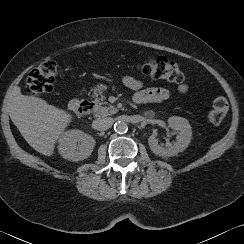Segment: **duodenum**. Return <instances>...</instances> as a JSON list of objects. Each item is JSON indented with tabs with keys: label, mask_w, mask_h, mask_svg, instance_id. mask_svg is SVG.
Wrapping results in <instances>:
<instances>
[{
	"label": "duodenum",
	"mask_w": 244,
	"mask_h": 244,
	"mask_svg": "<svg viewBox=\"0 0 244 244\" xmlns=\"http://www.w3.org/2000/svg\"><path fill=\"white\" fill-rule=\"evenodd\" d=\"M69 110L72 112H81V113H87L93 109V104L88 101H83L79 98L72 99L68 104Z\"/></svg>",
	"instance_id": "410a0bca"
}]
</instances>
